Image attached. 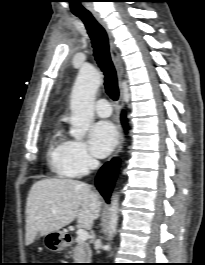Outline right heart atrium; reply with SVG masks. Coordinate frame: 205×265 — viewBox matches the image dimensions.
Listing matches in <instances>:
<instances>
[{
	"label": "right heart atrium",
	"instance_id": "obj_1",
	"mask_svg": "<svg viewBox=\"0 0 205 265\" xmlns=\"http://www.w3.org/2000/svg\"><path fill=\"white\" fill-rule=\"evenodd\" d=\"M65 165L72 175L83 176L96 165V160L85 142L69 140L65 152Z\"/></svg>",
	"mask_w": 205,
	"mask_h": 265
}]
</instances>
